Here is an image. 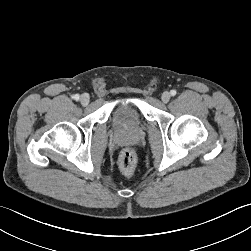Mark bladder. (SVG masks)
<instances>
[{
	"label": "bladder",
	"instance_id": "1",
	"mask_svg": "<svg viewBox=\"0 0 251 251\" xmlns=\"http://www.w3.org/2000/svg\"><path fill=\"white\" fill-rule=\"evenodd\" d=\"M111 122L116 129L136 131L142 126V116L133 105H119L111 115Z\"/></svg>",
	"mask_w": 251,
	"mask_h": 251
}]
</instances>
